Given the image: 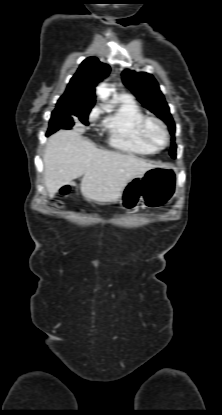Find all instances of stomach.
I'll return each instance as SVG.
<instances>
[{"label": "stomach", "mask_w": 222, "mask_h": 415, "mask_svg": "<svg viewBox=\"0 0 222 415\" xmlns=\"http://www.w3.org/2000/svg\"><path fill=\"white\" fill-rule=\"evenodd\" d=\"M178 189V171L173 165H160L131 178L121 192L120 206L135 210L140 204L159 208L169 203Z\"/></svg>", "instance_id": "obj_1"}]
</instances>
